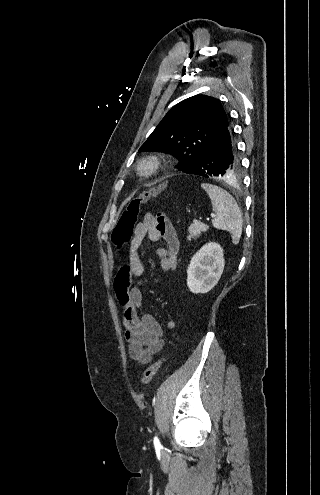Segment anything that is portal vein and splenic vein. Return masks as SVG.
I'll use <instances>...</instances> for the list:
<instances>
[{"instance_id": "obj_1", "label": "portal vein and splenic vein", "mask_w": 320, "mask_h": 495, "mask_svg": "<svg viewBox=\"0 0 320 495\" xmlns=\"http://www.w3.org/2000/svg\"><path fill=\"white\" fill-rule=\"evenodd\" d=\"M214 217H215V215H214V214H212V215H211V218H214ZM209 219H210V218H207V220H209Z\"/></svg>"}]
</instances>
